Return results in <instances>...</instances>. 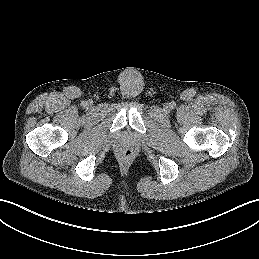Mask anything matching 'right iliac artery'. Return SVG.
Returning <instances> with one entry per match:
<instances>
[{
    "instance_id": "82829eb1",
    "label": "right iliac artery",
    "mask_w": 259,
    "mask_h": 259,
    "mask_svg": "<svg viewBox=\"0 0 259 259\" xmlns=\"http://www.w3.org/2000/svg\"><path fill=\"white\" fill-rule=\"evenodd\" d=\"M86 105H87V102L83 101L82 106H86Z\"/></svg>"
}]
</instances>
